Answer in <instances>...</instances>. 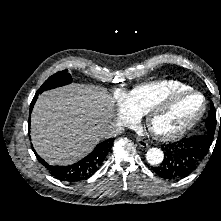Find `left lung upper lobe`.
Returning a JSON list of instances; mask_svg holds the SVG:
<instances>
[{"mask_svg":"<svg viewBox=\"0 0 221 221\" xmlns=\"http://www.w3.org/2000/svg\"><path fill=\"white\" fill-rule=\"evenodd\" d=\"M205 125L207 128V132L204 135L197 136V138L201 142H204V145L206 146L207 153H208L209 148H210L213 138H214L215 130L218 127L217 120H216V110H215V107L213 106V104L211 105V109H210V112H209V115H208ZM219 130H221V122H220ZM207 153H205V156L207 155Z\"/></svg>","mask_w":221,"mask_h":221,"instance_id":"1","label":"left lung upper lobe"}]
</instances>
